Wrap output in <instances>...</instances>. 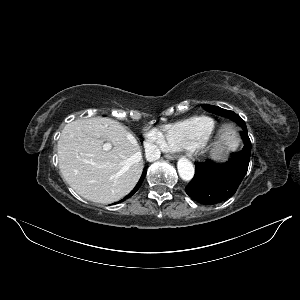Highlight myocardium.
Listing matches in <instances>:
<instances>
[{
  "instance_id": "f54148a6",
  "label": "myocardium",
  "mask_w": 300,
  "mask_h": 300,
  "mask_svg": "<svg viewBox=\"0 0 300 300\" xmlns=\"http://www.w3.org/2000/svg\"><path fill=\"white\" fill-rule=\"evenodd\" d=\"M212 135V134H211ZM211 135L203 138L200 140L193 149L200 155H204L209 151L210 142H211Z\"/></svg>"
}]
</instances>
